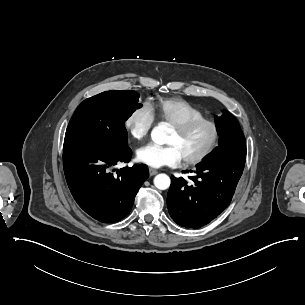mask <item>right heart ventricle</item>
I'll return each mask as SVG.
<instances>
[{
	"label": "right heart ventricle",
	"instance_id": "right-heart-ventricle-1",
	"mask_svg": "<svg viewBox=\"0 0 305 305\" xmlns=\"http://www.w3.org/2000/svg\"><path fill=\"white\" fill-rule=\"evenodd\" d=\"M155 118L172 124L205 117L204 113L181 98H160L149 103Z\"/></svg>",
	"mask_w": 305,
	"mask_h": 305
}]
</instances>
